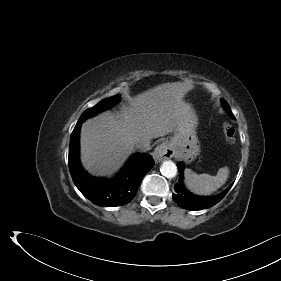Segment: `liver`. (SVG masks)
Returning <instances> with one entry per match:
<instances>
[{
    "instance_id": "liver-1",
    "label": "liver",
    "mask_w": 281,
    "mask_h": 281,
    "mask_svg": "<svg viewBox=\"0 0 281 281\" xmlns=\"http://www.w3.org/2000/svg\"><path fill=\"white\" fill-rule=\"evenodd\" d=\"M191 86L164 83L129 99L120 113L104 112L82 124L83 167L96 176L116 172L141 140L151 141L174 132L191 107L183 101Z\"/></svg>"
}]
</instances>
